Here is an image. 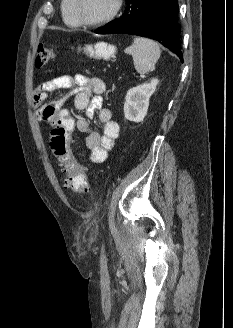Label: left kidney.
<instances>
[{
	"label": "left kidney",
	"instance_id": "obj_1",
	"mask_svg": "<svg viewBox=\"0 0 233 328\" xmlns=\"http://www.w3.org/2000/svg\"><path fill=\"white\" fill-rule=\"evenodd\" d=\"M158 83V79L154 78L150 83H143L128 90L124 104V116L127 120L136 123L143 121L147 115L149 99Z\"/></svg>",
	"mask_w": 233,
	"mask_h": 328
}]
</instances>
